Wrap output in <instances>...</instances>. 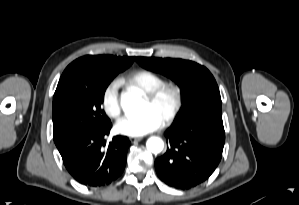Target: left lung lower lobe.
<instances>
[{
  "label": "left lung lower lobe",
  "mask_w": 299,
  "mask_h": 205,
  "mask_svg": "<svg viewBox=\"0 0 299 205\" xmlns=\"http://www.w3.org/2000/svg\"><path fill=\"white\" fill-rule=\"evenodd\" d=\"M165 136L170 145L155 161L158 177L178 189L195 187L209 178L221 160L225 142L222 113L173 122Z\"/></svg>",
  "instance_id": "obj_1"
}]
</instances>
